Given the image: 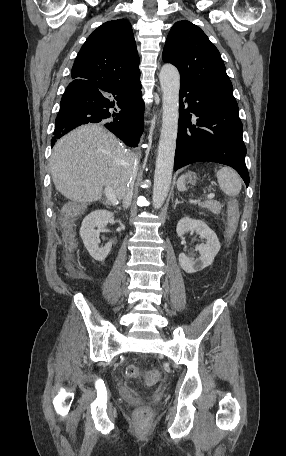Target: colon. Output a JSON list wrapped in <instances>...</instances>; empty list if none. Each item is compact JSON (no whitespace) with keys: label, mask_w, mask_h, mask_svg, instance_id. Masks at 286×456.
Instances as JSON below:
<instances>
[{"label":"colon","mask_w":286,"mask_h":456,"mask_svg":"<svg viewBox=\"0 0 286 456\" xmlns=\"http://www.w3.org/2000/svg\"><path fill=\"white\" fill-rule=\"evenodd\" d=\"M237 216V205H236V202L235 201H231L230 202V218H231V222L229 223V227H228V234L231 235L234 228H235V222H234V219L236 218ZM126 375L130 378H138V377H141L143 383L147 386H151V385H154L156 383H158L161 379V373L159 370L157 369H152V370H149L148 372H146L144 375H141L140 374V371L138 369V367L134 364H129L126 366ZM146 413V410L145 409H141L139 411V414L140 415H145Z\"/></svg>","instance_id":"colon-1"}]
</instances>
